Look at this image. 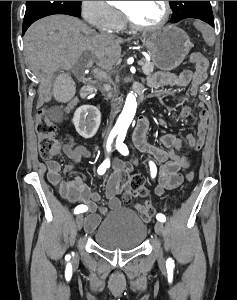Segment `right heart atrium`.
<instances>
[{
	"instance_id": "right-heart-atrium-1",
	"label": "right heart atrium",
	"mask_w": 237,
	"mask_h": 300,
	"mask_svg": "<svg viewBox=\"0 0 237 300\" xmlns=\"http://www.w3.org/2000/svg\"><path fill=\"white\" fill-rule=\"evenodd\" d=\"M81 13L84 20L96 29L116 31L120 28V13L107 1H81Z\"/></svg>"
}]
</instances>
